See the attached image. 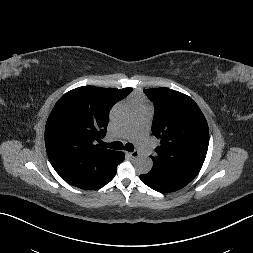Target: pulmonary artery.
<instances>
[{"label": "pulmonary artery", "instance_id": "obj_1", "mask_svg": "<svg viewBox=\"0 0 253 253\" xmlns=\"http://www.w3.org/2000/svg\"><path fill=\"white\" fill-rule=\"evenodd\" d=\"M152 111L150 108H141L137 111L134 123L122 130L118 138H133L139 150L146 156L153 153L154 145L148 137V128Z\"/></svg>", "mask_w": 253, "mask_h": 253}]
</instances>
